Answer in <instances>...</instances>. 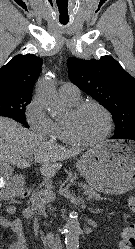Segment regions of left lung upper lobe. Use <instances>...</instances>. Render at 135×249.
Returning a JSON list of instances; mask_svg holds the SVG:
<instances>
[{"label": "left lung upper lobe", "mask_w": 135, "mask_h": 249, "mask_svg": "<svg viewBox=\"0 0 135 249\" xmlns=\"http://www.w3.org/2000/svg\"><path fill=\"white\" fill-rule=\"evenodd\" d=\"M68 68L71 81L111 112L116 127L114 136L135 130V78L114 58L72 57L68 59Z\"/></svg>", "instance_id": "1"}]
</instances>
